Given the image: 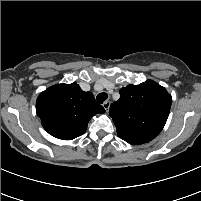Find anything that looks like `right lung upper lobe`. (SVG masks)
Here are the masks:
<instances>
[{"label":"right lung upper lobe","mask_w":201,"mask_h":201,"mask_svg":"<svg viewBox=\"0 0 201 201\" xmlns=\"http://www.w3.org/2000/svg\"><path fill=\"white\" fill-rule=\"evenodd\" d=\"M36 112L44 129L62 140H72L85 133L89 120L105 109L91 92L76 83L49 87L37 98Z\"/></svg>","instance_id":"cb5924a9"}]
</instances>
